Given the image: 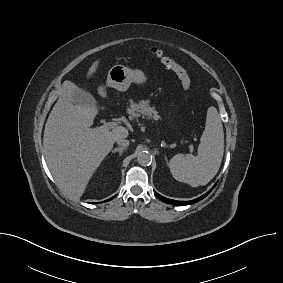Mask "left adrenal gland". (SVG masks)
<instances>
[{
  "label": "left adrenal gland",
  "instance_id": "obj_1",
  "mask_svg": "<svg viewBox=\"0 0 283 283\" xmlns=\"http://www.w3.org/2000/svg\"><path fill=\"white\" fill-rule=\"evenodd\" d=\"M165 160L167 161V157L165 156Z\"/></svg>",
  "mask_w": 283,
  "mask_h": 283
}]
</instances>
